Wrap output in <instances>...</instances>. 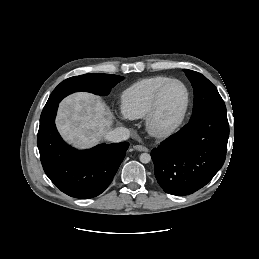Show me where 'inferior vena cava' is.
<instances>
[{
  "label": "inferior vena cava",
  "instance_id": "602c4592",
  "mask_svg": "<svg viewBox=\"0 0 259 259\" xmlns=\"http://www.w3.org/2000/svg\"><path fill=\"white\" fill-rule=\"evenodd\" d=\"M130 137L129 129L125 127H117L106 133L105 139L111 142H121Z\"/></svg>",
  "mask_w": 259,
  "mask_h": 259
}]
</instances>
